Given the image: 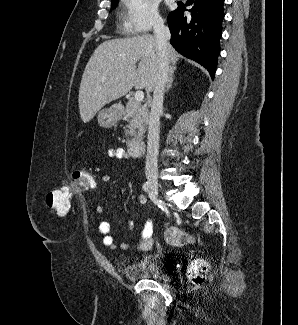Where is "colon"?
<instances>
[{
    "instance_id": "colon-1",
    "label": "colon",
    "mask_w": 298,
    "mask_h": 325,
    "mask_svg": "<svg viewBox=\"0 0 298 325\" xmlns=\"http://www.w3.org/2000/svg\"><path fill=\"white\" fill-rule=\"evenodd\" d=\"M96 186L94 175L83 167L76 168L72 173V183L58 187L48 192L44 197L46 208L54 210L57 215H66L71 208V200L79 191L91 190ZM165 241L171 246H184L192 242V237L182 230L166 225L164 228ZM152 236L143 237L137 244L140 250H148L152 247ZM207 266L202 261L191 264L188 275L194 284H200L205 280Z\"/></svg>"
}]
</instances>
